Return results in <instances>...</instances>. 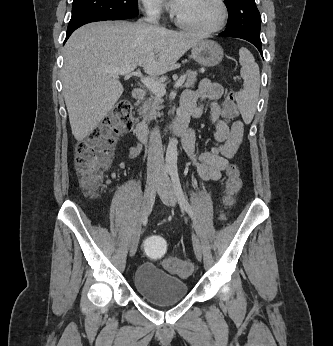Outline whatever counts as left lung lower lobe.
Returning a JSON list of instances; mask_svg holds the SVG:
<instances>
[{
	"mask_svg": "<svg viewBox=\"0 0 333 346\" xmlns=\"http://www.w3.org/2000/svg\"><path fill=\"white\" fill-rule=\"evenodd\" d=\"M219 35L229 36V37H236V38H241V39L247 40V41L251 42L253 45H255L257 47V49L259 50V52L261 53V55L263 57L261 40H256V39H253V38H249V37H247V36H245L243 34H240V33H237V32H232V31H227V30H225L224 32L220 33Z\"/></svg>",
	"mask_w": 333,
	"mask_h": 346,
	"instance_id": "1",
	"label": "left lung lower lobe"
}]
</instances>
